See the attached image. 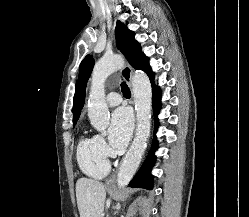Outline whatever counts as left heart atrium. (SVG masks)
<instances>
[{"instance_id":"left-heart-atrium-1","label":"left heart atrium","mask_w":249,"mask_h":217,"mask_svg":"<svg viewBox=\"0 0 249 217\" xmlns=\"http://www.w3.org/2000/svg\"><path fill=\"white\" fill-rule=\"evenodd\" d=\"M133 118L130 111L125 107L116 109L112 116L109 128L110 144L116 149L124 148L131 136Z\"/></svg>"}]
</instances>
